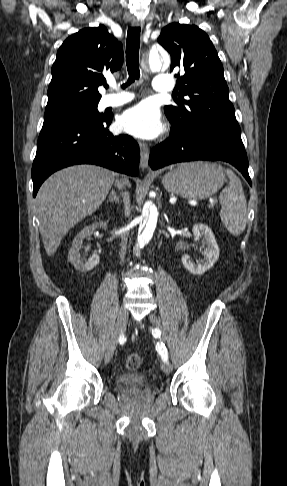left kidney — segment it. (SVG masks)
I'll return each mask as SVG.
<instances>
[{
  "instance_id": "5707ae66",
  "label": "left kidney",
  "mask_w": 287,
  "mask_h": 486,
  "mask_svg": "<svg viewBox=\"0 0 287 486\" xmlns=\"http://www.w3.org/2000/svg\"><path fill=\"white\" fill-rule=\"evenodd\" d=\"M193 234L197 240L202 239L204 251L202 254L204 258L197 263L191 261L189 255H183L181 262L183 266L192 274L201 275L209 270L219 258V247L216 243L215 236L211 229L202 223H197L193 226Z\"/></svg>"
}]
</instances>
